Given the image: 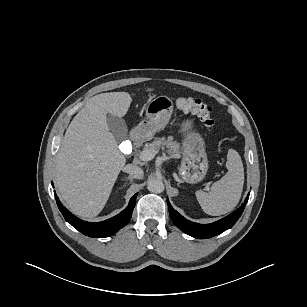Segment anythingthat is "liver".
<instances>
[{"instance_id":"obj_1","label":"liver","mask_w":307,"mask_h":307,"mask_svg":"<svg viewBox=\"0 0 307 307\" xmlns=\"http://www.w3.org/2000/svg\"><path fill=\"white\" fill-rule=\"evenodd\" d=\"M131 102L127 92L95 95L65 132L56 155L55 184L61 199L78 216L91 218L102 211L126 163L107 115L122 118Z\"/></svg>"}]
</instances>
